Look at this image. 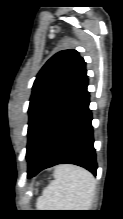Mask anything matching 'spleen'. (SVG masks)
<instances>
[{"instance_id":"obj_1","label":"spleen","mask_w":123,"mask_h":219,"mask_svg":"<svg viewBox=\"0 0 123 219\" xmlns=\"http://www.w3.org/2000/svg\"><path fill=\"white\" fill-rule=\"evenodd\" d=\"M55 180L43 191L37 201L40 210H89L95 181L87 170L69 164L55 168Z\"/></svg>"}]
</instances>
